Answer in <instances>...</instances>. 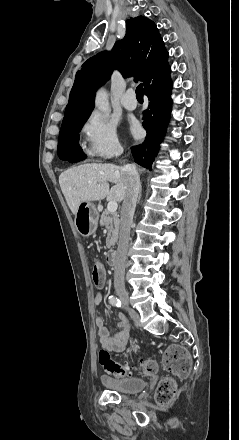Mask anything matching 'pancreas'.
<instances>
[{
	"label": "pancreas",
	"instance_id": "1",
	"mask_svg": "<svg viewBox=\"0 0 239 440\" xmlns=\"http://www.w3.org/2000/svg\"><path fill=\"white\" fill-rule=\"evenodd\" d=\"M100 226H105L108 230V236L106 238L107 248L115 246L120 228V220L116 212H108V210H104L101 214Z\"/></svg>",
	"mask_w": 239,
	"mask_h": 440
}]
</instances>
